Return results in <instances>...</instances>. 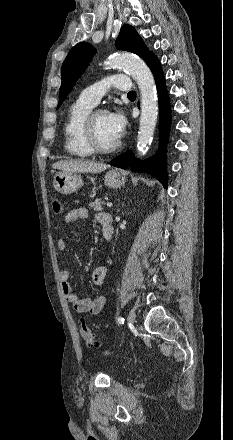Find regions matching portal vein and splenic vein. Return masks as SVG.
<instances>
[{"label": "portal vein and splenic vein", "mask_w": 233, "mask_h": 440, "mask_svg": "<svg viewBox=\"0 0 233 440\" xmlns=\"http://www.w3.org/2000/svg\"><path fill=\"white\" fill-rule=\"evenodd\" d=\"M106 205H107V207H111V206H112V203H111V202H108Z\"/></svg>", "instance_id": "portal-vein-and-splenic-vein-1"}]
</instances>
